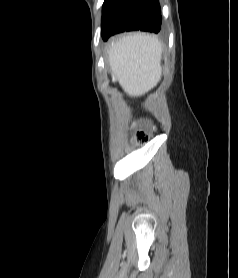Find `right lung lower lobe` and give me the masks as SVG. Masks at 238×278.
I'll list each match as a JSON object with an SVG mask.
<instances>
[{"label":"right lung lower lobe","instance_id":"right-lung-lower-lobe-1","mask_svg":"<svg viewBox=\"0 0 238 278\" xmlns=\"http://www.w3.org/2000/svg\"><path fill=\"white\" fill-rule=\"evenodd\" d=\"M161 19L158 0H105L102 38L107 40L113 34L130 30L158 33Z\"/></svg>","mask_w":238,"mask_h":278}]
</instances>
